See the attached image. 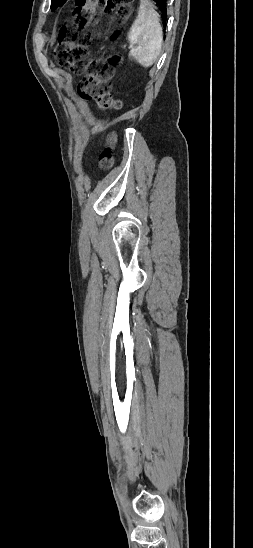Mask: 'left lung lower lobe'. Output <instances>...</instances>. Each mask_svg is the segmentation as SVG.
Here are the masks:
<instances>
[{"label":"left lung lower lobe","instance_id":"left-lung-lower-lobe-1","mask_svg":"<svg viewBox=\"0 0 253 548\" xmlns=\"http://www.w3.org/2000/svg\"><path fill=\"white\" fill-rule=\"evenodd\" d=\"M156 2V5L160 8L164 20V26H165V19L167 17V11H166V0H154ZM66 0H61L58 5L55 7H52L53 9H56L58 6H62Z\"/></svg>","mask_w":253,"mask_h":548}]
</instances>
